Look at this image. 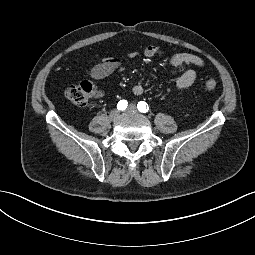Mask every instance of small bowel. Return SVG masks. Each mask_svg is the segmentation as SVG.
I'll return each mask as SVG.
<instances>
[{
    "label": "small bowel",
    "instance_id": "small-bowel-1",
    "mask_svg": "<svg viewBox=\"0 0 255 255\" xmlns=\"http://www.w3.org/2000/svg\"><path fill=\"white\" fill-rule=\"evenodd\" d=\"M160 52V48L156 45H148L144 49L146 57L156 56ZM134 56V54H133ZM169 65L172 67H183L182 74L176 79L175 86L178 89H185L191 86L196 80L197 73L192 67L203 68L205 61L194 54L190 53H176L169 58ZM124 69V62L117 57H108L102 60L91 68L89 76L92 79H102L115 71ZM134 95L139 96L144 91V84L141 81L135 83L132 89Z\"/></svg>",
    "mask_w": 255,
    "mask_h": 255
}]
</instances>
